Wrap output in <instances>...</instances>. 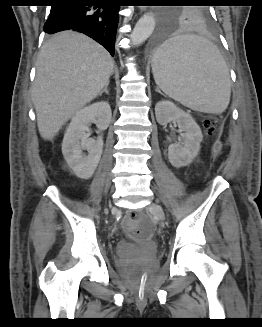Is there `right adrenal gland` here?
Here are the masks:
<instances>
[{
	"mask_svg": "<svg viewBox=\"0 0 262 327\" xmlns=\"http://www.w3.org/2000/svg\"><path fill=\"white\" fill-rule=\"evenodd\" d=\"M108 85L109 84L105 85L104 89L99 93V96H102L103 93H106L107 95H109Z\"/></svg>",
	"mask_w": 262,
	"mask_h": 327,
	"instance_id": "right-adrenal-gland-1",
	"label": "right adrenal gland"
}]
</instances>
